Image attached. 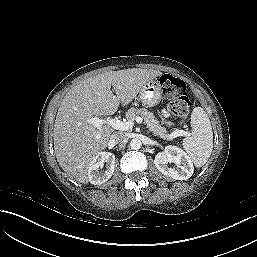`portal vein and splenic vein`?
<instances>
[{
  "label": "portal vein and splenic vein",
  "instance_id": "1",
  "mask_svg": "<svg viewBox=\"0 0 257 257\" xmlns=\"http://www.w3.org/2000/svg\"><path fill=\"white\" fill-rule=\"evenodd\" d=\"M86 121H87V123L93 124L98 129H100L102 127V125L107 124L116 130L126 131V130L131 129L134 125L133 121L123 122L117 118H110V117L105 118V119H100L98 117H92V118H88ZM135 121L137 123H142V118L137 116L135 118ZM187 135H189V133L184 130H176V131L172 132L169 136L172 138H175L178 136H187Z\"/></svg>",
  "mask_w": 257,
  "mask_h": 257
}]
</instances>
